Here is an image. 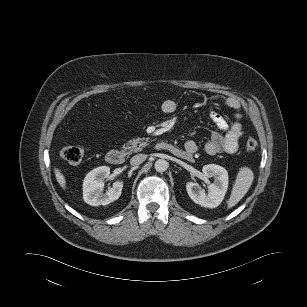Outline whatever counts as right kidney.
Here are the masks:
<instances>
[{
	"label": "right kidney",
	"instance_id": "right-kidney-1",
	"mask_svg": "<svg viewBox=\"0 0 307 307\" xmlns=\"http://www.w3.org/2000/svg\"><path fill=\"white\" fill-rule=\"evenodd\" d=\"M110 174V168L107 166H100L90 171L83 182V199L91 206L107 205L117 200L123 188V182L116 181L112 188L105 193L104 179Z\"/></svg>",
	"mask_w": 307,
	"mask_h": 307
}]
</instances>
